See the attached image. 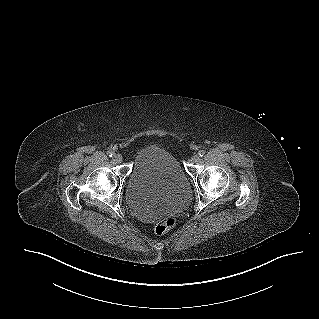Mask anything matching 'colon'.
Returning <instances> with one entry per match:
<instances>
[{
  "label": "colon",
  "instance_id": "5ec220e1",
  "mask_svg": "<svg viewBox=\"0 0 319 319\" xmlns=\"http://www.w3.org/2000/svg\"><path fill=\"white\" fill-rule=\"evenodd\" d=\"M176 220L174 217H168L154 227V233L157 235H163L174 227Z\"/></svg>",
  "mask_w": 319,
  "mask_h": 319
}]
</instances>
